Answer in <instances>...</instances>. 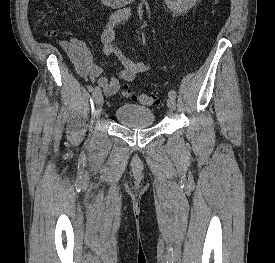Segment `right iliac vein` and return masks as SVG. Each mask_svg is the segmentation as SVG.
I'll list each match as a JSON object with an SVG mask.
<instances>
[{
	"label": "right iliac vein",
	"instance_id": "right-iliac-vein-1",
	"mask_svg": "<svg viewBox=\"0 0 275 263\" xmlns=\"http://www.w3.org/2000/svg\"><path fill=\"white\" fill-rule=\"evenodd\" d=\"M95 105H96V114L99 115L103 105V96L101 94L95 99Z\"/></svg>",
	"mask_w": 275,
	"mask_h": 263
}]
</instances>
